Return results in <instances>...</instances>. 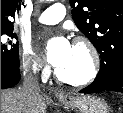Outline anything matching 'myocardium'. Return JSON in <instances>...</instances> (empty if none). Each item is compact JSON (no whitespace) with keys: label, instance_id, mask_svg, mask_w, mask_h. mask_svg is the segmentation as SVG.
<instances>
[{"label":"myocardium","instance_id":"1","mask_svg":"<svg viewBox=\"0 0 123 113\" xmlns=\"http://www.w3.org/2000/svg\"><path fill=\"white\" fill-rule=\"evenodd\" d=\"M74 45L80 46L87 51L89 56L88 72L82 77L71 78V77L63 76L58 69H55L54 72L55 77L57 80L65 84L76 85V86L90 84L96 79L99 73L100 55L98 53V50L95 47V45L88 38L84 36H77L74 39Z\"/></svg>","mask_w":123,"mask_h":113}]
</instances>
